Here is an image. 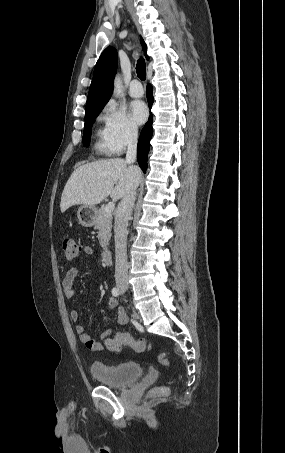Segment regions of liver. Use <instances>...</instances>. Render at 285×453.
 <instances>
[{
	"mask_svg": "<svg viewBox=\"0 0 285 453\" xmlns=\"http://www.w3.org/2000/svg\"><path fill=\"white\" fill-rule=\"evenodd\" d=\"M140 178V169L129 166L122 158L102 159L78 166L62 192L61 212L78 204L94 206L109 195L113 200H119L129 194L134 182Z\"/></svg>",
	"mask_w": 285,
	"mask_h": 453,
	"instance_id": "1",
	"label": "liver"
}]
</instances>
